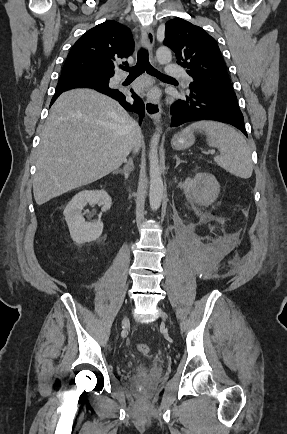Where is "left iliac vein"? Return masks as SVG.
Wrapping results in <instances>:
<instances>
[{
    "instance_id": "4c4485c4",
    "label": "left iliac vein",
    "mask_w": 287,
    "mask_h": 434,
    "mask_svg": "<svg viewBox=\"0 0 287 434\" xmlns=\"http://www.w3.org/2000/svg\"><path fill=\"white\" fill-rule=\"evenodd\" d=\"M160 315H161L163 321H166V315H165L164 311L160 310Z\"/></svg>"
}]
</instances>
